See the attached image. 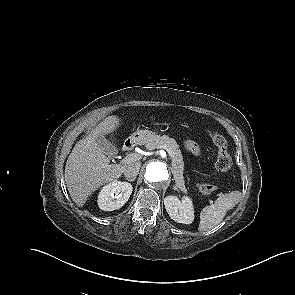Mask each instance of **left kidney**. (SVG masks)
Segmentation results:
<instances>
[{"label": "left kidney", "instance_id": "5707ae66", "mask_svg": "<svg viewBox=\"0 0 295 295\" xmlns=\"http://www.w3.org/2000/svg\"><path fill=\"white\" fill-rule=\"evenodd\" d=\"M164 205L171 219L183 224H191L194 220V208L189 197L184 196L180 201L176 196H167Z\"/></svg>", "mask_w": 295, "mask_h": 295}]
</instances>
